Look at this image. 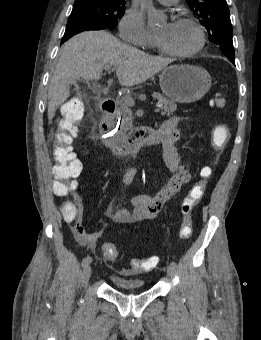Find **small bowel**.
Instances as JSON below:
<instances>
[{
	"instance_id": "obj_1",
	"label": "small bowel",
	"mask_w": 261,
	"mask_h": 340,
	"mask_svg": "<svg viewBox=\"0 0 261 340\" xmlns=\"http://www.w3.org/2000/svg\"><path fill=\"white\" fill-rule=\"evenodd\" d=\"M178 122V119L172 118L157 129L161 137L163 160L172 173L167 185L154 196H136L133 199L134 208L132 210L121 208L109 215L113 221L130 223L156 218L163 206L167 202L176 199L183 186L191 181V174L181 163L176 148V142L180 137ZM136 173L137 169L135 168H131L125 173L123 182L126 186L132 183ZM74 205L76 208L75 213L72 216L63 214L64 220L70 224L77 241L88 249H93L104 235L105 227H101L93 233H87L82 224V205L78 199Z\"/></svg>"
}]
</instances>
